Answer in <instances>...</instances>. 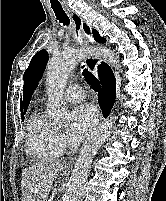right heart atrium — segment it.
I'll use <instances>...</instances> for the list:
<instances>
[{
  "label": "right heart atrium",
  "mask_w": 166,
  "mask_h": 201,
  "mask_svg": "<svg viewBox=\"0 0 166 201\" xmlns=\"http://www.w3.org/2000/svg\"><path fill=\"white\" fill-rule=\"evenodd\" d=\"M59 141H60L62 148H64L67 145V139H66L65 135L62 133L59 134Z\"/></svg>",
  "instance_id": "obj_1"
}]
</instances>
